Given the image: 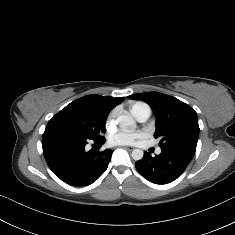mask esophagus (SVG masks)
Masks as SVG:
<instances>
[{
    "label": "esophagus",
    "instance_id": "34e87169",
    "mask_svg": "<svg viewBox=\"0 0 235 235\" xmlns=\"http://www.w3.org/2000/svg\"><path fill=\"white\" fill-rule=\"evenodd\" d=\"M122 148H124L128 151H132L134 149V147H132V146H122Z\"/></svg>",
    "mask_w": 235,
    "mask_h": 235
}]
</instances>
